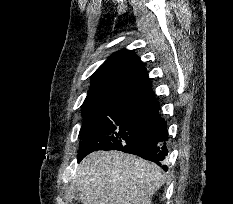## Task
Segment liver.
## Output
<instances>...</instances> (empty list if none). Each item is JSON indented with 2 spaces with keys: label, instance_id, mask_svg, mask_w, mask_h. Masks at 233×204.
Listing matches in <instances>:
<instances>
[{
  "label": "liver",
  "instance_id": "1",
  "mask_svg": "<svg viewBox=\"0 0 233 204\" xmlns=\"http://www.w3.org/2000/svg\"><path fill=\"white\" fill-rule=\"evenodd\" d=\"M165 175L154 163L120 151H96L77 166L82 204H151Z\"/></svg>",
  "mask_w": 233,
  "mask_h": 204
}]
</instances>
